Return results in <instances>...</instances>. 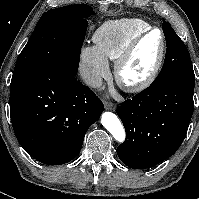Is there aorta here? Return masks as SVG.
<instances>
[{"instance_id":"obj_1","label":"aorta","mask_w":199,"mask_h":199,"mask_svg":"<svg viewBox=\"0 0 199 199\" xmlns=\"http://www.w3.org/2000/svg\"><path fill=\"white\" fill-rule=\"evenodd\" d=\"M102 125L107 131L114 137L119 143H123L126 134L123 125L121 124L118 117L112 112H105L101 117Z\"/></svg>"}]
</instances>
